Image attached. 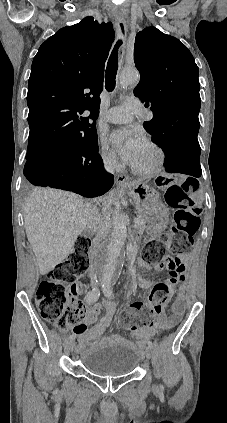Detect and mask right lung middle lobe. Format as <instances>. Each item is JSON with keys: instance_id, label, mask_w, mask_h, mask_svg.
I'll return each mask as SVG.
<instances>
[{"instance_id": "dd1d6c3e", "label": "right lung middle lobe", "mask_w": 227, "mask_h": 423, "mask_svg": "<svg viewBox=\"0 0 227 423\" xmlns=\"http://www.w3.org/2000/svg\"><path fill=\"white\" fill-rule=\"evenodd\" d=\"M97 146H98L97 134L94 133V134H90V135L86 136L85 138H83V139H81V140H79L75 143H72V144L62 148L61 150L64 154L72 155V154H76V153L85 152V151L93 149ZM37 156H39V155H26V160H30V159L37 157Z\"/></svg>"}]
</instances>
